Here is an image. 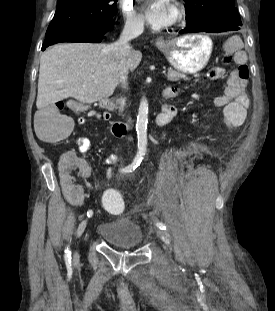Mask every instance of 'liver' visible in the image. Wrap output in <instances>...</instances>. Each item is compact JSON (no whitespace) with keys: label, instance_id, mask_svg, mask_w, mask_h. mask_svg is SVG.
Listing matches in <instances>:
<instances>
[{"label":"liver","instance_id":"1","mask_svg":"<svg viewBox=\"0 0 275 311\" xmlns=\"http://www.w3.org/2000/svg\"><path fill=\"white\" fill-rule=\"evenodd\" d=\"M141 59L142 53L132 49L126 60L128 71H134ZM119 83L118 59L110 45L59 44L41 57L36 106L41 111L68 97L94 103L111 96Z\"/></svg>","mask_w":275,"mask_h":311}]
</instances>
